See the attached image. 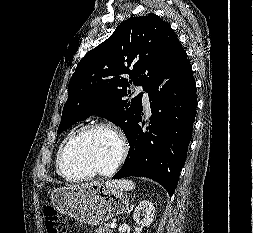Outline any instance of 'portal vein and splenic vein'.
<instances>
[{"label":"portal vein and splenic vein","mask_w":253,"mask_h":233,"mask_svg":"<svg viewBox=\"0 0 253 233\" xmlns=\"http://www.w3.org/2000/svg\"><path fill=\"white\" fill-rule=\"evenodd\" d=\"M116 226H117V225H116V223H114V222L111 223V225H110L111 228H116Z\"/></svg>","instance_id":"portal-vein-and-splenic-vein-1"}]
</instances>
